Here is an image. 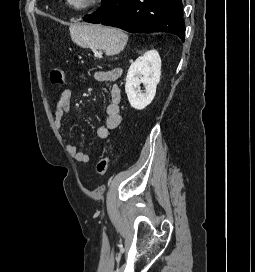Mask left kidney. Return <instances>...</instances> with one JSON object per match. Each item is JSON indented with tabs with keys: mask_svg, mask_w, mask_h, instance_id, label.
Listing matches in <instances>:
<instances>
[{
	"mask_svg": "<svg viewBox=\"0 0 255 272\" xmlns=\"http://www.w3.org/2000/svg\"><path fill=\"white\" fill-rule=\"evenodd\" d=\"M160 76L161 58L156 50L147 51L131 64L126 76L125 92L133 108L142 110L152 102ZM141 84L145 92L140 90Z\"/></svg>",
	"mask_w": 255,
	"mask_h": 272,
	"instance_id": "5707ae66",
	"label": "left kidney"
}]
</instances>
